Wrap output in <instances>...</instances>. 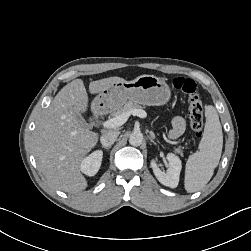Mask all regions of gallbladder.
Masks as SVG:
<instances>
[{"label":"gallbladder","mask_w":251,"mask_h":251,"mask_svg":"<svg viewBox=\"0 0 251 251\" xmlns=\"http://www.w3.org/2000/svg\"><path fill=\"white\" fill-rule=\"evenodd\" d=\"M75 118L83 125V126H87V122L85 121V119L81 116L80 113H78L75 110H72Z\"/></svg>","instance_id":"1"}]
</instances>
